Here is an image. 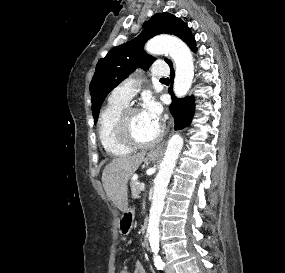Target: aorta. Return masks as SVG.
Listing matches in <instances>:
<instances>
[{
    "mask_svg": "<svg viewBox=\"0 0 285 273\" xmlns=\"http://www.w3.org/2000/svg\"><path fill=\"white\" fill-rule=\"evenodd\" d=\"M145 49L152 55L163 53L170 55L176 65L174 93L179 98L186 96L194 77V62L189 47L176 37L157 36L146 44ZM182 147L183 138L178 134L173 135L168 142L159 172L154 180V193L148 224L149 243L154 254L159 251V222L167 186Z\"/></svg>",
    "mask_w": 285,
    "mask_h": 273,
    "instance_id": "aorta-1",
    "label": "aorta"
}]
</instances>
